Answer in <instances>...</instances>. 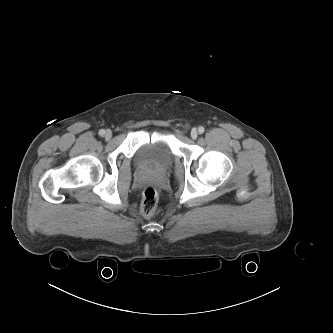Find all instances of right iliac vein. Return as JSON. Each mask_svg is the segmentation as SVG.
I'll return each instance as SVG.
<instances>
[{
    "label": "right iliac vein",
    "mask_w": 333,
    "mask_h": 333,
    "mask_svg": "<svg viewBox=\"0 0 333 333\" xmlns=\"http://www.w3.org/2000/svg\"><path fill=\"white\" fill-rule=\"evenodd\" d=\"M104 137L106 140H110L112 137V132L110 130H107L104 134Z\"/></svg>",
    "instance_id": "obj_1"
}]
</instances>
